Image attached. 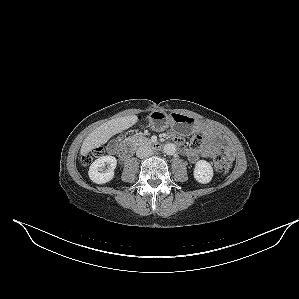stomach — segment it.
<instances>
[{
    "label": "stomach",
    "instance_id": "obj_1",
    "mask_svg": "<svg viewBox=\"0 0 299 299\" xmlns=\"http://www.w3.org/2000/svg\"><path fill=\"white\" fill-rule=\"evenodd\" d=\"M149 124L156 131H163L168 127H172L183 134L191 133L196 125L194 119L187 115L180 113L168 115L161 110H153L150 113Z\"/></svg>",
    "mask_w": 299,
    "mask_h": 299
}]
</instances>
